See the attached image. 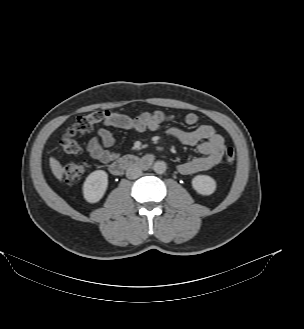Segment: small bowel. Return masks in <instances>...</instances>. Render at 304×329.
<instances>
[{
    "label": "small bowel",
    "instance_id": "small-bowel-1",
    "mask_svg": "<svg viewBox=\"0 0 304 329\" xmlns=\"http://www.w3.org/2000/svg\"><path fill=\"white\" fill-rule=\"evenodd\" d=\"M174 118V115L166 114L161 110L143 113L134 119L112 112L104 126L98 130V137L88 141L87 150L93 159L102 164H108L118 156L117 153L109 150L114 144L111 127L142 133L156 131L162 125L171 123ZM184 121L187 125L193 126L199 122V117L195 113H188ZM167 133L184 145L197 147L203 155L178 165V171L184 175H191L216 167L226 150L225 139L211 125L203 124L193 130L171 125L167 129Z\"/></svg>",
    "mask_w": 304,
    "mask_h": 329
}]
</instances>
